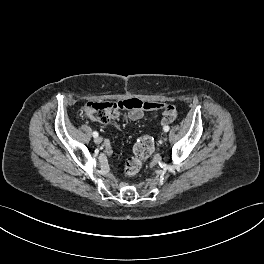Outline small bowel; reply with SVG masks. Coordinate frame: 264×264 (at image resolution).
<instances>
[{
  "mask_svg": "<svg viewBox=\"0 0 264 264\" xmlns=\"http://www.w3.org/2000/svg\"><path fill=\"white\" fill-rule=\"evenodd\" d=\"M122 102H124L127 105L126 107H123V109L129 110L128 118L132 121H137L141 119L144 116L145 112L147 111H155V110H163V119H162L163 125L172 123L177 117L176 108L169 104L153 102V101L143 102L136 98L124 100ZM105 148H106V153L108 155H111L112 151L109 142L105 143Z\"/></svg>",
  "mask_w": 264,
  "mask_h": 264,
  "instance_id": "obj_1",
  "label": "small bowel"
}]
</instances>
